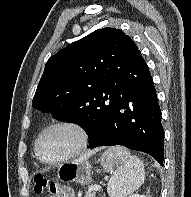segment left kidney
I'll list each match as a JSON object with an SVG mask.
<instances>
[{
  "instance_id": "1",
  "label": "left kidney",
  "mask_w": 191,
  "mask_h": 197,
  "mask_svg": "<svg viewBox=\"0 0 191 197\" xmlns=\"http://www.w3.org/2000/svg\"><path fill=\"white\" fill-rule=\"evenodd\" d=\"M129 197H146V196L140 194H132Z\"/></svg>"
}]
</instances>
